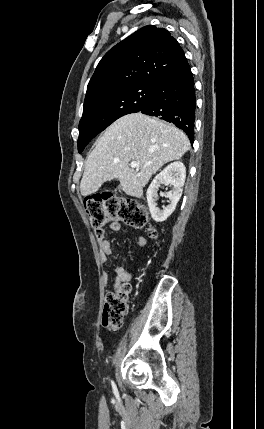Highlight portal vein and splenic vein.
Segmentation results:
<instances>
[{
	"label": "portal vein and splenic vein",
	"instance_id": "18ae733b",
	"mask_svg": "<svg viewBox=\"0 0 264 429\" xmlns=\"http://www.w3.org/2000/svg\"><path fill=\"white\" fill-rule=\"evenodd\" d=\"M138 162L137 161H132L131 163H130V166L132 167V168H137L138 167ZM148 165V164H147Z\"/></svg>",
	"mask_w": 264,
	"mask_h": 429
}]
</instances>
